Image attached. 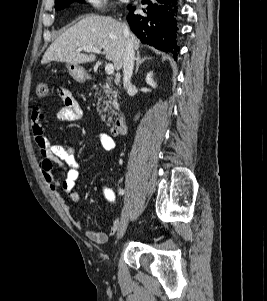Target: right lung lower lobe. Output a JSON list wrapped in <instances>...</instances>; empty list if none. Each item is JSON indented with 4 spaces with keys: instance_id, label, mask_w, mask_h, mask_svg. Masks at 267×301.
Returning <instances> with one entry per match:
<instances>
[{
    "instance_id": "right-lung-lower-lobe-1",
    "label": "right lung lower lobe",
    "mask_w": 267,
    "mask_h": 301,
    "mask_svg": "<svg viewBox=\"0 0 267 301\" xmlns=\"http://www.w3.org/2000/svg\"><path fill=\"white\" fill-rule=\"evenodd\" d=\"M142 3L147 4L142 14H134L135 8L128 6L130 12L127 21L131 30L141 42L173 53L176 58L179 51L176 41V0H142Z\"/></svg>"
}]
</instances>
